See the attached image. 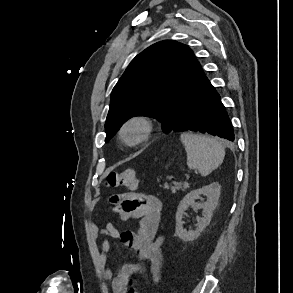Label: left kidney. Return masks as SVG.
Listing matches in <instances>:
<instances>
[{"instance_id":"5707ae66","label":"left kidney","mask_w":293,"mask_h":293,"mask_svg":"<svg viewBox=\"0 0 293 293\" xmlns=\"http://www.w3.org/2000/svg\"><path fill=\"white\" fill-rule=\"evenodd\" d=\"M221 186L217 182H213L207 186L202 188L193 190L185 195V197L181 200L178 205L176 212V235L185 242L193 241L200 233L209 225L213 211L216 209L218 205V200L220 197ZM201 195H205L207 200L205 202L196 203V199H200ZM189 206H192L196 209H202L204 213V217H197V225L195 230H186L183 227V215Z\"/></svg>"}]
</instances>
